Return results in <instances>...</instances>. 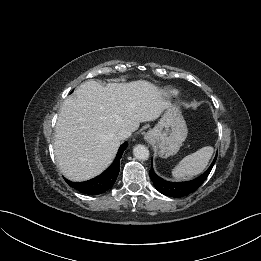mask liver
Returning <instances> with one entry per match:
<instances>
[{
  "label": "liver",
  "mask_w": 261,
  "mask_h": 261,
  "mask_svg": "<svg viewBox=\"0 0 261 261\" xmlns=\"http://www.w3.org/2000/svg\"><path fill=\"white\" fill-rule=\"evenodd\" d=\"M170 106L159 88L145 80L106 87L93 79L83 82L63 102L55 128L54 151L62 173L73 181L100 174L116 155L121 129L135 131Z\"/></svg>",
  "instance_id": "liver-1"
}]
</instances>
